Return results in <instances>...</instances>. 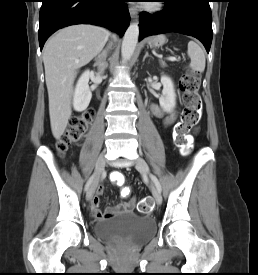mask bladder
I'll use <instances>...</instances> for the list:
<instances>
[{"label": "bladder", "instance_id": "obj_1", "mask_svg": "<svg viewBox=\"0 0 258 275\" xmlns=\"http://www.w3.org/2000/svg\"><path fill=\"white\" fill-rule=\"evenodd\" d=\"M155 232L156 222L154 218L133 212L100 219L94 224L95 235L104 239L125 237L135 243H142L152 238Z\"/></svg>", "mask_w": 258, "mask_h": 275}]
</instances>
